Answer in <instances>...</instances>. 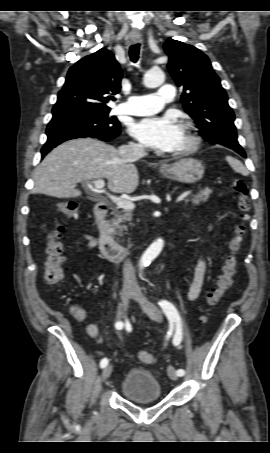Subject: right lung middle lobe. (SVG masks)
<instances>
[{
  "label": "right lung middle lobe",
  "instance_id": "obj_1",
  "mask_svg": "<svg viewBox=\"0 0 270 453\" xmlns=\"http://www.w3.org/2000/svg\"><path fill=\"white\" fill-rule=\"evenodd\" d=\"M110 110L87 111L67 116L54 117L48 124L52 127H74L78 129H90L101 132H114L120 129L116 117L109 116Z\"/></svg>",
  "mask_w": 270,
  "mask_h": 453
}]
</instances>
